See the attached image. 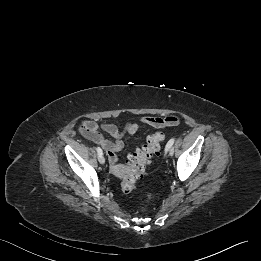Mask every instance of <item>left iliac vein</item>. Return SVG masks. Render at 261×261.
<instances>
[{
    "label": "left iliac vein",
    "instance_id": "obj_1",
    "mask_svg": "<svg viewBox=\"0 0 261 261\" xmlns=\"http://www.w3.org/2000/svg\"><path fill=\"white\" fill-rule=\"evenodd\" d=\"M169 152V154L172 156L174 154V149L171 147L167 150ZM166 151V152H167Z\"/></svg>",
    "mask_w": 261,
    "mask_h": 261
}]
</instances>
